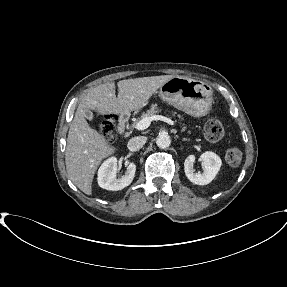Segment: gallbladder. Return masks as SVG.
<instances>
[{"label":"gallbladder","instance_id":"gallbladder-1","mask_svg":"<svg viewBox=\"0 0 287 287\" xmlns=\"http://www.w3.org/2000/svg\"><path fill=\"white\" fill-rule=\"evenodd\" d=\"M85 117L89 120L92 121L93 120V113L90 110H86L85 111Z\"/></svg>","mask_w":287,"mask_h":287}]
</instances>
